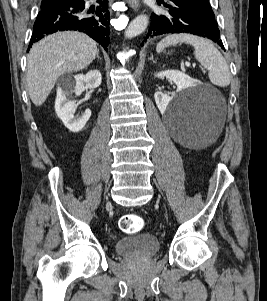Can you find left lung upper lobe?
<instances>
[{"instance_id": "1", "label": "left lung upper lobe", "mask_w": 267, "mask_h": 301, "mask_svg": "<svg viewBox=\"0 0 267 301\" xmlns=\"http://www.w3.org/2000/svg\"><path fill=\"white\" fill-rule=\"evenodd\" d=\"M185 1H188V2L196 5L199 9L203 10L208 15L214 17V13L209 4V0H185Z\"/></svg>"}]
</instances>
